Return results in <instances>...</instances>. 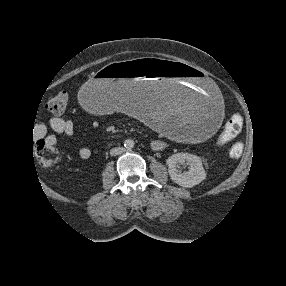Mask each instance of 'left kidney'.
I'll return each instance as SVG.
<instances>
[{
    "label": "left kidney",
    "mask_w": 286,
    "mask_h": 286,
    "mask_svg": "<svg viewBox=\"0 0 286 286\" xmlns=\"http://www.w3.org/2000/svg\"><path fill=\"white\" fill-rule=\"evenodd\" d=\"M170 178L178 185L191 188L201 183L206 178L200 157L190 153H177L166 160ZM187 163L189 170L181 172L180 165Z\"/></svg>",
    "instance_id": "obj_1"
}]
</instances>
